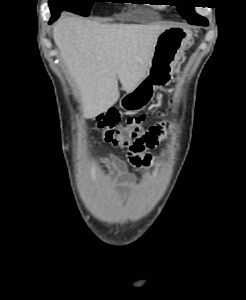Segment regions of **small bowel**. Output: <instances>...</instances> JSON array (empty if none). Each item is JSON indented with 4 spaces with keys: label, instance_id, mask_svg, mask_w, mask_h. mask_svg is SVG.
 <instances>
[{
    "label": "small bowel",
    "instance_id": "small-bowel-1",
    "mask_svg": "<svg viewBox=\"0 0 246 300\" xmlns=\"http://www.w3.org/2000/svg\"><path fill=\"white\" fill-rule=\"evenodd\" d=\"M104 160L108 163L110 167V177L116 178L114 180V185L123 192L125 189L131 188L134 184L133 178L125 172L124 162L114 156H106ZM127 161L132 165L137 167L147 165L149 161H144L143 155L129 151L127 154Z\"/></svg>",
    "mask_w": 246,
    "mask_h": 300
}]
</instances>
